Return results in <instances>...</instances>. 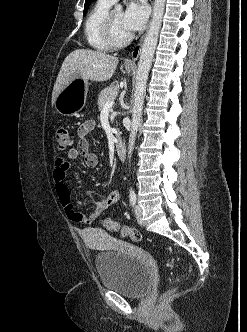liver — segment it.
<instances>
[{
  "label": "liver",
  "instance_id": "6515ba94",
  "mask_svg": "<svg viewBox=\"0 0 247 332\" xmlns=\"http://www.w3.org/2000/svg\"><path fill=\"white\" fill-rule=\"evenodd\" d=\"M118 63L117 57L101 51L77 49L71 52L65 58L57 76L52 92V106L60 91L73 79L82 77L96 82L107 81L113 76Z\"/></svg>",
  "mask_w": 247,
  "mask_h": 332
}]
</instances>
